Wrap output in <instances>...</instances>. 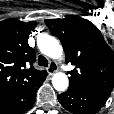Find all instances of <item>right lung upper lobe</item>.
<instances>
[{
  "label": "right lung upper lobe",
  "mask_w": 114,
  "mask_h": 114,
  "mask_svg": "<svg viewBox=\"0 0 114 114\" xmlns=\"http://www.w3.org/2000/svg\"><path fill=\"white\" fill-rule=\"evenodd\" d=\"M35 26V21L6 19L0 22V98L47 74L33 67L35 51L28 45V38Z\"/></svg>",
  "instance_id": "1"
}]
</instances>
